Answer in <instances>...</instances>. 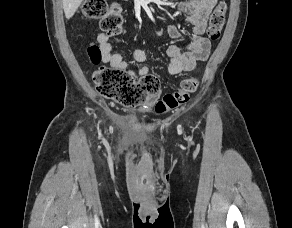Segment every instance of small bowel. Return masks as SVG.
<instances>
[{
  "label": "small bowel",
  "instance_id": "small-bowel-1",
  "mask_svg": "<svg viewBox=\"0 0 292 228\" xmlns=\"http://www.w3.org/2000/svg\"><path fill=\"white\" fill-rule=\"evenodd\" d=\"M218 0H186L180 2L178 8L185 15L186 22L191 26V40L185 46L169 45L166 50L170 62L167 66V72L170 75H176L184 71H190L195 68L198 61H205L210 54L211 42L204 36L208 17L215 7ZM181 29L178 26H168L167 34L171 38H178L181 35ZM102 60L109 67L128 71L136 78H142L149 74L148 67H142L135 70H129L127 62L122 55L116 53L112 49L109 36L105 33H100L97 36ZM131 58L135 62H144L147 59V51L145 49H136L132 51ZM158 94L149 97L144 109H150L155 106Z\"/></svg>",
  "mask_w": 292,
  "mask_h": 228
}]
</instances>
